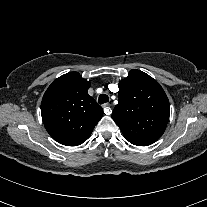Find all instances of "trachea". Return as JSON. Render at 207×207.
<instances>
[{
	"label": "trachea",
	"instance_id": "1",
	"mask_svg": "<svg viewBox=\"0 0 207 207\" xmlns=\"http://www.w3.org/2000/svg\"><path fill=\"white\" fill-rule=\"evenodd\" d=\"M106 102H109L108 96L106 94H101L99 96L98 103L103 104V103H106Z\"/></svg>",
	"mask_w": 207,
	"mask_h": 207
}]
</instances>
